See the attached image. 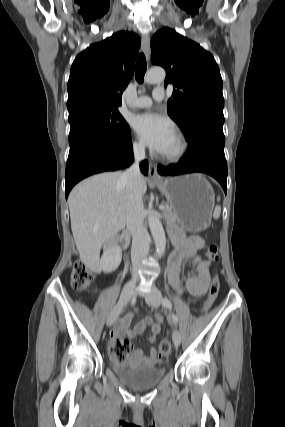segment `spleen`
I'll return each mask as SVG.
<instances>
[{
	"label": "spleen",
	"instance_id": "spleen-1",
	"mask_svg": "<svg viewBox=\"0 0 285 427\" xmlns=\"http://www.w3.org/2000/svg\"><path fill=\"white\" fill-rule=\"evenodd\" d=\"M220 200V198L218 197V201ZM221 214V207L220 206H216L213 212V217L214 219H218L220 217Z\"/></svg>",
	"mask_w": 285,
	"mask_h": 427
}]
</instances>
